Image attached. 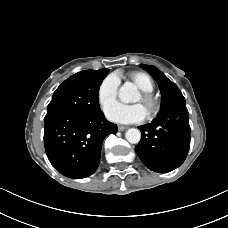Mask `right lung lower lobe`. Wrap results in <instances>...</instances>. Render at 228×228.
<instances>
[{
    "mask_svg": "<svg viewBox=\"0 0 228 228\" xmlns=\"http://www.w3.org/2000/svg\"><path fill=\"white\" fill-rule=\"evenodd\" d=\"M44 145L54 168L69 178L93 174L100 162L104 138L117 132L102 111L94 114L54 112L44 118Z\"/></svg>",
    "mask_w": 228,
    "mask_h": 228,
    "instance_id": "98d812e1",
    "label": "right lung lower lobe"
}]
</instances>
